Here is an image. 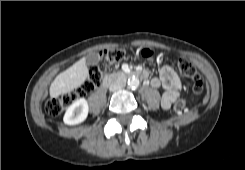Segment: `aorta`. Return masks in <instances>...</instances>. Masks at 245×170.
Here are the masks:
<instances>
[{
	"mask_svg": "<svg viewBox=\"0 0 245 170\" xmlns=\"http://www.w3.org/2000/svg\"><path fill=\"white\" fill-rule=\"evenodd\" d=\"M140 84L139 79L136 77H131L128 79V86L131 88H136Z\"/></svg>",
	"mask_w": 245,
	"mask_h": 170,
	"instance_id": "1",
	"label": "aorta"
}]
</instances>
